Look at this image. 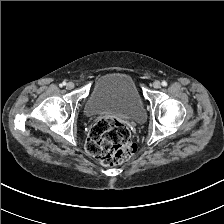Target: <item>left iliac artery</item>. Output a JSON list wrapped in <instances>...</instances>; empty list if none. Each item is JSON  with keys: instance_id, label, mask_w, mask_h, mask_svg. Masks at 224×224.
Returning <instances> with one entry per match:
<instances>
[{"instance_id": "1", "label": "left iliac artery", "mask_w": 224, "mask_h": 224, "mask_svg": "<svg viewBox=\"0 0 224 224\" xmlns=\"http://www.w3.org/2000/svg\"><path fill=\"white\" fill-rule=\"evenodd\" d=\"M162 86L166 87L167 86V82L166 81H162Z\"/></svg>"}]
</instances>
